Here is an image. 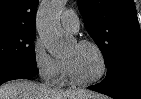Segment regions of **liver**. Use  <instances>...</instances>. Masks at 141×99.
<instances>
[{
  "label": "liver",
  "instance_id": "obj_1",
  "mask_svg": "<svg viewBox=\"0 0 141 99\" xmlns=\"http://www.w3.org/2000/svg\"><path fill=\"white\" fill-rule=\"evenodd\" d=\"M0 99H103L86 90H58L29 80H13L0 86Z\"/></svg>",
  "mask_w": 141,
  "mask_h": 99
}]
</instances>
